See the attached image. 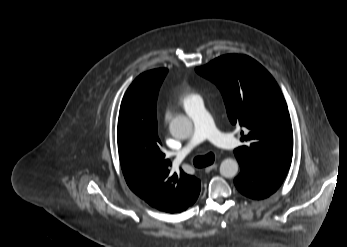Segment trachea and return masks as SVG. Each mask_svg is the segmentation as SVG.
I'll return each mask as SVG.
<instances>
[{
	"mask_svg": "<svg viewBox=\"0 0 347 247\" xmlns=\"http://www.w3.org/2000/svg\"><path fill=\"white\" fill-rule=\"evenodd\" d=\"M215 156L213 153H208L205 156H197L194 158L193 163L196 167L202 168L213 164Z\"/></svg>",
	"mask_w": 347,
	"mask_h": 247,
	"instance_id": "3493384b",
	"label": "trachea"
}]
</instances>
